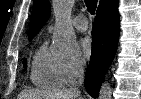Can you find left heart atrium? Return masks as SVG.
<instances>
[{
    "label": "left heart atrium",
    "mask_w": 141,
    "mask_h": 99,
    "mask_svg": "<svg viewBox=\"0 0 141 99\" xmlns=\"http://www.w3.org/2000/svg\"><path fill=\"white\" fill-rule=\"evenodd\" d=\"M81 50L85 57H90L93 51V40L90 36H85L80 41Z\"/></svg>",
    "instance_id": "left-heart-atrium-1"
}]
</instances>
